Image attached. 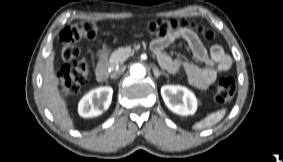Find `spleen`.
<instances>
[{
	"instance_id": "obj_1",
	"label": "spleen",
	"mask_w": 283,
	"mask_h": 162,
	"mask_svg": "<svg viewBox=\"0 0 283 162\" xmlns=\"http://www.w3.org/2000/svg\"><path fill=\"white\" fill-rule=\"evenodd\" d=\"M226 114V109H221L217 112L209 114L207 117L193 125V129L202 130L205 128L212 127L223 119Z\"/></svg>"
}]
</instances>
